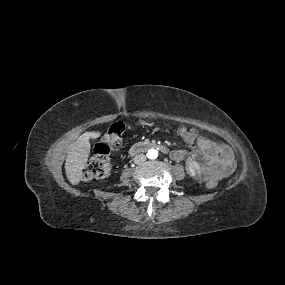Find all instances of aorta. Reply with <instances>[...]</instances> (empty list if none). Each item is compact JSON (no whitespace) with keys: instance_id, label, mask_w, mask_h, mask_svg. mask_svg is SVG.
<instances>
[{"instance_id":"aorta-1","label":"aorta","mask_w":285,"mask_h":285,"mask_svg":"<svg viewBox=\"0 0 285 285\" xmlns=\"http://www.w3.org/2000/svg\"><path fill=\"white\" fill-rule=\"evenodd\" d=\"M149 159H156L158 157V151L156 149H150L147 153Z\"/></svg>"}]
</instances>
